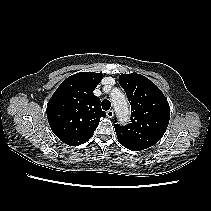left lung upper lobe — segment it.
Instances as JSON below:
<instances>
[{"instance_id": "5c2ea615", "label": "left lung upper lobe", "mask_w": 211, "mask_h": 211, "mask_svg": "<svg viewBox=\"0 0 211 211\" xmlns=\"http://www.w3.org/2000/svg\"><path fill=\"white\" fill-rule=\"evenodd\" d=\"M119 84L131 104L130 123L115 124L119 142L129 150L141 151L156 144L164 135L170 107L161 90L140 74H121Z\"/></svg>"}]
</instances>
